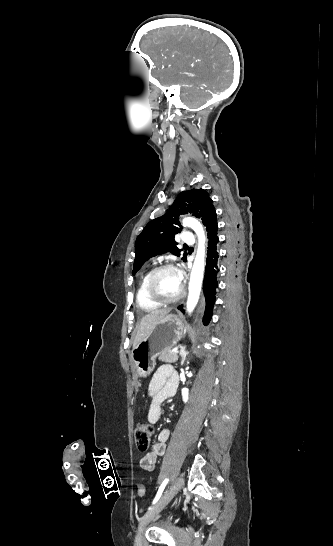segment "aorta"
<instances>
[{
    "label": "aorta",
    "mask_w": 333,
    "mask_h": 546,
    "mask_svg": "<svg viewBox=\"0 0 333 546\" xmlns=\"http://www.w3.org/2000/svg\"><path fill=\"white\" fill-rule=\"evenodd\" d=\"M184 226L191 227L198 236V249L189 282V294L187 299V311L191 313L199 300L201 285L204 275L205 243L206 236L202 224L195 218L187 217L182 221Z\"/></svg>",
    "instance_id": "obj_1"
}]
</instances>
